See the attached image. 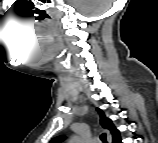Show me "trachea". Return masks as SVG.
I'll return each instance as SVG.
<instances>
[{"label":"trachea","instance_id":"3493384b","mask_svg":"<svg viewBox=\"0 0 158 143\" xmlns=\"http://www.w3.org/2000/svg\"><path fill=\"white\" fill-rule=\"evenodd\" d=\"M100 139H101L104 143H106V135H105V134H102V135L100 136Z\"/></svg>","mask_w":158,"mask_h":143}]
</instances>
